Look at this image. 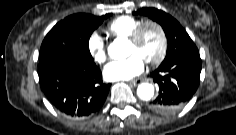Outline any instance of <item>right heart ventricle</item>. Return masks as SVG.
Segmentation results:
<instances>
[{
  "label": "right heart ventricle",
  "instance_id": "right-heart-ventricle-1",
  "mask_svg": "<svg viewBox=\"0 0 236 135\" xmlns=\"http://www.w3.org/2000/svg\"><path fill=\"white\" fill-rule=\"evenodd\" d=\"M143 22L142 19L129 15L115 18L106 26V31L113 37L129 38L135 28Z\"/></svg>",
  "mask_w": 236,
  "mask_h": 135
}]
</instances>
